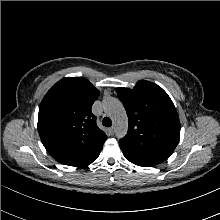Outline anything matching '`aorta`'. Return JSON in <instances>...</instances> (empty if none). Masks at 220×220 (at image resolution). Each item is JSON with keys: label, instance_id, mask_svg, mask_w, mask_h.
<instances>
[{"label": "aorta", "instance_id": "1", "mask_svg": "<svg viewBox=\"0 0 220 220\" xmlns=\"http://www.w3.org/2000/svg\"><path fill=\"white\" fill-rule=\"evenodd\" d=\"M104 110L113 120V129L118 138L126 135L128 130V118L122 103L114 98L105 99Z\"/></svg>", "mask_w": 220, "mask_h": 220}]
</instances>
